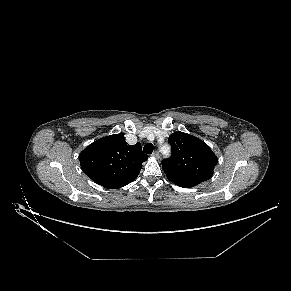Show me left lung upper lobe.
I'll list each match as a JSON object with an SVG mask.
<instances>
[{
  "mask_svg": "<svg viewBox=\"0 0 291 291\" xmlns=\"http://www.w3.org/2000/svg\"><path fill=\"white\" fill-rule=\"evenodd\" d=\"M169 142L172 155L161 163L171 182L191 188L212 177L218 159L206 143L184 132H174Z\"/></svg>",
  "mask_w": 291,
  "mask_h": 291,
  "instance_id": "1",
  "label": "left lung upper lobe"
}]
</instances>
